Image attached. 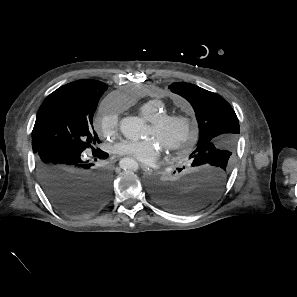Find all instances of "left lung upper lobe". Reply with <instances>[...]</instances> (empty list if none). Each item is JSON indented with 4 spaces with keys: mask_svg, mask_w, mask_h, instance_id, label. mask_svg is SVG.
I'll return each instance as SVG.
<instances>
[{
    "mask_svg": "<svg viewBox=\"0 0 297 297\" xmlns=\"http://www.w3.org/2000/svg\"><path fill=\"white\" fill-rule=\"evenodd\" d=\"M169 88L191 103L198 119V145L189 159L215 161L230 171L239 133V121L230 104L191 83L176 82Z\"/></svg>",
    "mask_w": 297,
    "mask_h": 297,
    "instance_id": "obj_1",
    "label": "left lung upper lobe"
}]
</instances>
